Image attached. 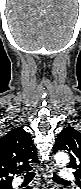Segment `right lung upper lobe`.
I'll return each instance as SVG.
<instances>
[{
    "label": "right lung upper lobe",
    "mask_w": 81,
    "mask_h": 189,
    "mask_svg": "<svg viewBox=\"0 0 81 189\" xmlns=\"http://www.w3.org/2000/svg\"><path fill=\"white\" fill-rule=\"evenodd\" d=\"M30 163H39L32 138L21 127L14 128L0 139V186L11 185L12 175L32 169Z\"/></svg>",
    "instance_id": "1"
}]
</instances>
